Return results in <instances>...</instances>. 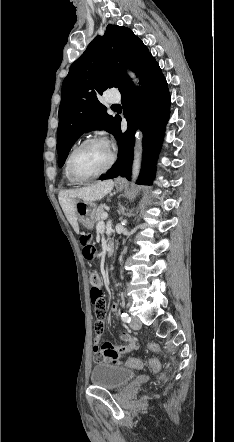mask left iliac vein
Listing matches in <instances>:
<instances>
[{"label":"left iliac vein","mask_w":234,"mask_h":442,"mask_svg":"<svg viewBox=\"0 0 234 442\" xmlns=\"http://www.w3.org/2000/svg\"><path fill=\"white\" fill-rule=\"evenodd\" d=\"M130 326H131L132 329L138 330V329L141 328L142 323H141V321H140V319L138 317H133L132 321L130 323Z\"/></svg>","instance_id":"obj_1"}]
</instances>
